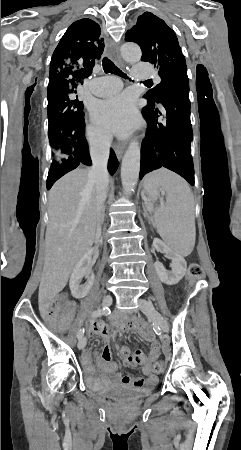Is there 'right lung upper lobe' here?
Returning <instances> with one entry per match:
<instances>
[{"instance_id":"1","label":"right lung upper lobe","mask_w":241,"mask_h":450,"mask_svg":"<svg viewBox=\"0 0 241 450\" xmlns=\"http://www.w3.org/2000/svg\"><path fill=\"white\" fill-rule=\"evenodd\" d=\"M100 33V26L87 18L74 22L67 29L51 58L48 99L76 91L92 74L104 49Z\"/></svg>"}]
</instances>
